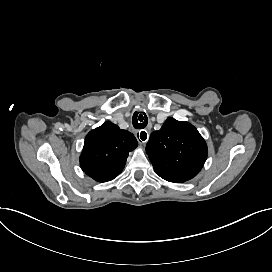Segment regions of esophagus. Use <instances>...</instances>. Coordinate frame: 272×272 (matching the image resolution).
I'll use <instances>...</instances> for the list:
<instances>
[{
    "mask_svg": "<svg viewBox=\"0 0 272 272\" xmlns=\"http://www.w3.org/2000/svg\"><path fill=\"white\" fill-rule=\"evenodd\" d=\"M138 141L141 143V144H144L147 142V133L143 132V131H139L138 132Z\"/></svg>",
    "mask_w": 272,
    "mask_h": 272,
    "instance_id": "1",
    "label": "esophagus"
}]
</instances>
